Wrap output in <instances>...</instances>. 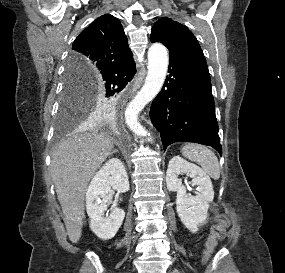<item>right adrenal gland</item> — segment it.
I'll return each instance as SVG.
<instances>
[{
    "label": "right adrenal gland",
    "instance_id": "right-adrenal-gland-1",
    "mask_svg": "<svg viewBox=\"0 0 285 273\" xmlns=\"http://www.w3.org/2000/svg\"><path fill=\"white\" fill-rule=\"evenodd\" d=\"M118 152V150H114L112 153H111V155H113L114 153H117Z\"/></svg>",
    "mask_w": 285,
    "mask_h": 273
}]
</instances>
